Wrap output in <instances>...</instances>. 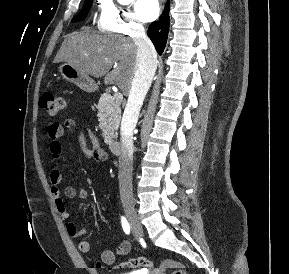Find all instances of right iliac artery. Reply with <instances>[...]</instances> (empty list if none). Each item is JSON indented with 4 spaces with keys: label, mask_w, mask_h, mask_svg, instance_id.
<instances>
[{
    "label": "right iliac artery",
    "mask_w": 289,
    "mask_h": 274,
    "mask_svg": "<svg viewBox=\"0 0 289 274\" xmlns=\"http://www.w3.org/2000/svg\"><path fill=\"white\" fill-rule=\"evenodd\" d=\"M121 223H122V228H123L124 232L127 235H129L130 234V225H129L128 221L126 220V218L123 216L121 218Z\"/></svg>",
    "instance_id": "right-iliac-artery-1"
}]
</instances>
